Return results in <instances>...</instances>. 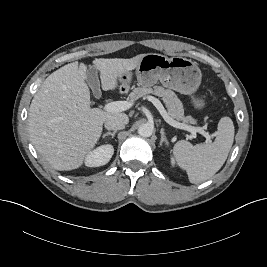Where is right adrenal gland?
Here are the masks:
<instances>
[{
    "label": "right adrenal gland",
    "mask_w": 267,
    "mask_h": 267,
    "mask_svg": "<svg viewBox=\"0 0 267 267\" xmlns=\"http://www.w3.org/2000/svg\"><path fill=\"white\" fill-rule=\"evenodd\" d=\"M115 134H116V131H113V132H107V133L103 134L102 137H103V139H104L106 136H111L112 138H114Z\"/></svg>",
    "instance_id": "2a0ac1e0"
}]
</instances>
